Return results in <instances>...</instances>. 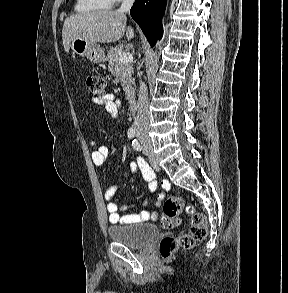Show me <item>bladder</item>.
Instances as JSON below:
<instances>
[{
  "mask_svg": "<svg viewBox=\"0 0 288 293\" xmlns=\"http://www.w3.org/2000/svg\"><path fill=\"white\" fill-rule=\"evenodd\" d=\"M108 234L114 242L130 248H140L156 237L158 229L149 223H132L110 226Z\"/></svg>",
  "mask_w": 288,
  "mask_h": 293,
  "instance_id": "obj_1",
  "label": "bladder"
}]
</instances>
